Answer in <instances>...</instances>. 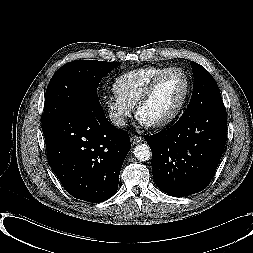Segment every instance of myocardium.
Returning a JSON list of instances; mask_svg holds the SVG:
<instances>
[{
    "mask_svg": "<svg viewBox=\"0 0 253 253\" xmlns=\"http://www.w3.org/2000/svg\"><path fill=\"white\" fill-rule=\"evenodd\" d=\"M171 73H179L185 83V89H184V93L183 96L179 102V104L177 105L176 109L169 114L168 116L164 117L163 119L152 123L151 125L154 127H163L166 125L171 124L172 122H174L183 112L187 101L189 99L190 96V80L188 75L186 74V72L180 68V67H170L168 69H166L165 71H163L162 73H160L159 75H157L150 83L149 85L145 88V90L143 91L142 95L140 96L137 104H136V113L137 115L140 114V111L142 110V108L151 100L152 96L154 95L157 87L159 86V84L161 83V81L169 74Z\"/></svg>",
    "mask_w": 253,
    "mask_h": 253,
    "instance_id": "myocardium-1",
    "label": "myocardium"
}]
</instances>
